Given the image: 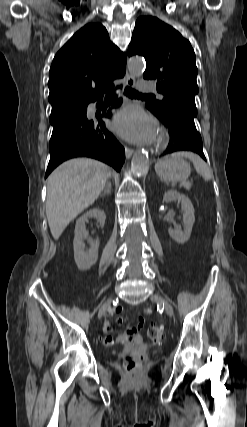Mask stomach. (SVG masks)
Segmentation results:
<instances>
[{
    "label": "stomach",
    "instance_id": "1",
    "mask_svg": "<svg viewBox=\"0 0 247 427\" xmlns=\"http://www.w3.org/2000/svg\"><path fill=\"white\" fill-rule=\"evenodd\" d=\"M156 172L166 182H182L189 177L191 168L183 158L176 157L159 162Z\"/></svg>",
    "mask_w": 247,
    "mask_h": 427
}]
</instances>
